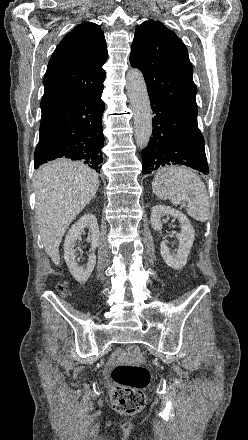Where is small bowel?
<instances>
[{
	"mask_svg": "<svg viewBox=\"0 0 248 440\" xmlns=\"http://www.w3.org/2000/svg\"><path fill=\"white\" fill-rule=\"evenodd\" d=\"M120 356H121V351L118 350V351L115 352V354L113 355V357H112V362L118 360V359L120 358Z\"/></svg>",
	"mask_w": 248,
	"mask_h": 440,
	"instance_id": "small-bowel-1",
	"label": "small bowel"
}]
</instances>
